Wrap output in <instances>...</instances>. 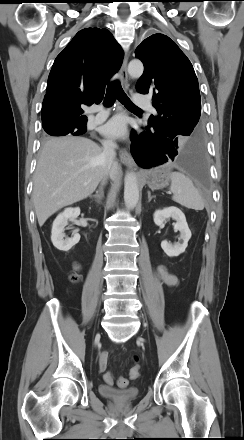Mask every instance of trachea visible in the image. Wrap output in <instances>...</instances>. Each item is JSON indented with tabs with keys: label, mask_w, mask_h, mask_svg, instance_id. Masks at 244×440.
I'll use <instances>...</instances> for the list:
<instances>
[{
	"label": "trachea",
	"mask_w": 244,
	"mask_h": 440,
	"mask_svg": "<svg viewBox=\"0 0 244 440\" xmlns=\"http://www.w3.org/2000/svg\"><path fill=\"white\" fill-rule=\"evenodd\" d=\"M116 99L119 100L126 108L140 109L128 98L118 80H115L108 85L104 104L106 106H111Z\"/></svg>",
	"instance_id": "3493384b"
}]
</instances>
